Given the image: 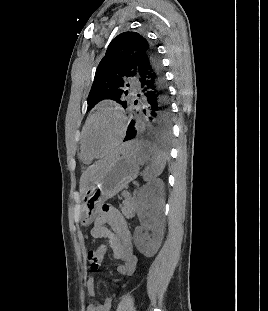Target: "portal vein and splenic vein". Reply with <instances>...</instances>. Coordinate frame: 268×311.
<instances>
[{
    "label": "portal vein and splenic vein",
    "mask_w": 268,
    "mask_h": 311,
    "mask_svg": "<svg viewBox=\"0 0 268 311\" xmlns=\"http://www.w3.org/2000/svg\"><path fill=\"white\" fill-rule=\"evenodd\" d=\"M123 195H128V193H124Z\"/></svg>",
    "instance_id": "1"
}]
</instances>
